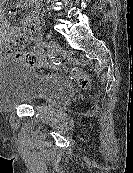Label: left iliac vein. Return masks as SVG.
I'll return each mask as SVG.
<instances>
[{"label": "left iliac vein", "instance_id": "obj_1", "mask_svg": "<svg viewBox=\"0 0 133 173\" xmlns=\"http://www.w3.org/2000/svg\"><path fill=\"white\" fill-rule=\"evenodd\" d=\"M59 51V44L54 40L51 39L48 43V55L49 57L55 56Z\"/></svg>", "mask_w": 133, "mask_h": 173}]
</instances>
